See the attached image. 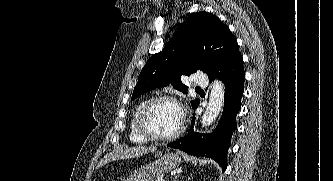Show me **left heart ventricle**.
I'll list each match as a JSON object with an SVG mask.
<instances>
[{"instance_id": "obj_1", "label": "left heart ventricle", "mask_w": 333, "mask_h": 181, "mask_svg": "<svg viewBox=\"0 0 333 181\" xmlns=\"http://www.w3.org/2000/svg\"><path fill=\"white\" fill-rule=\"evenodd\" d=\"M182 122V111L172 102H159L152 107L148 116L149 128L158 135H167L176 131Z\"/></svg>"}]
</instances>
